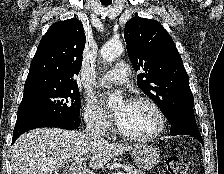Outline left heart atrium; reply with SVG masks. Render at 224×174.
Listing matches in <instances>:
<instances>
[{
    "instance_id": "left-heart-atrium-1",
    "label": "left heart atrium",
    "mask_w": 224,
    "mask_h": 174,
    "mask_svg": "<svg viewBox=\"0 0 224 174\" xmlns=\"http://www.w3.org/2000/svg\"><path fill=\"white\" fill-rule=\"evenodd\" d=\"M121 115H122L121 110H116L115 113L113 114L114 119H115V121L117 122V124H118L119 121H120Z\"/></svg>"
}]
</instances>
